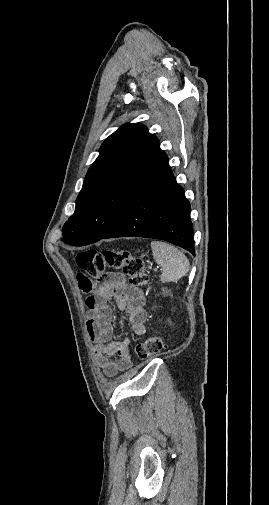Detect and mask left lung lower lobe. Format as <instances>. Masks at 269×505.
<instances>
[{
  "mask_svg": "<svg viewBox=\"0 0 269 505\" xmlns=\"http://www.w3.org/2000/svg\"><path fill=\"white\" fill-rule=\"evenodd\" d=\"M127 236L165 240L195 255L190 204L158 140L130 200L102 239Z\"/></svg>",
  "mask_w": 269,
  "mask_h": 505,
  "instance_id": "1",
  "label": "left lung lower lobe"
}]
</instances>
